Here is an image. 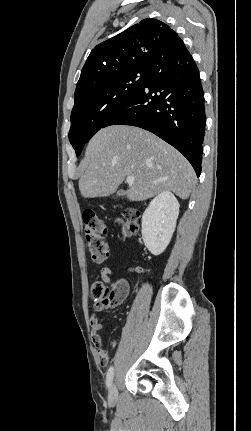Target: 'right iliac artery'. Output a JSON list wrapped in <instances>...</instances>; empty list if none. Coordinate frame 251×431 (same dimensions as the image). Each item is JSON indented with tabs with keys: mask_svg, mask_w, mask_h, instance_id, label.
<instances>
[{
	"mask_svg": "<svg viewBox=\"0 0 251 431\" xmlns=\"http://www.w3.org/2000/svg\"><path fill=\"white\" fill-rule=\"evenodd\" d=\"M113 376H114V368L111 366V367L108 369V372H107V378H106V384H107V387H108V388H109V387L111 386V384H112Z\"/></svg>",
	"mask_w": 251,
	"mask_h": 431,
	"instance_id": "82829eb1",
	"label": "right iliac artery"
}]
</instances>
